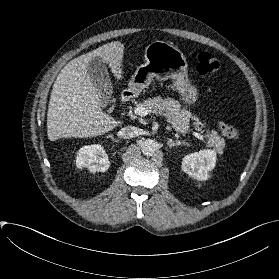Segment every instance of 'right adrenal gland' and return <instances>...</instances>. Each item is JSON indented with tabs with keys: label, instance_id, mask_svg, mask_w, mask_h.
I'll list each match as a JSON object with an SVG mask.
<instances>
[{
	"label": "right adrenal gland",
	"instance_id": "obj_1",
	"mask_svg": "<svg viewBox=\"0 0 279 279\" xmlns=\"http://www.w3.org/2000/svg\"><path fill=\"white\" fill-rule=\"evenodd\" d=\"M110 137H111V139L113 140V141H115V142H119V140L118 139H115L114 137H113V135H110Z\"/></svg>",
	"mask_w": 279,
	"mask_h": 279
}]
</instances>
